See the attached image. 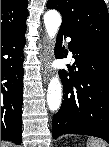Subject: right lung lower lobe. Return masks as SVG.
I'll use <instances>...</instances> for the list:
<instances>
[{
    "label": "right lung lower lobe",
    "instance_id": "obj_1",
    "mask_svg": "<svg viewBox=\"0 0 109 147\" xmlns=\"http://www.w3.org/2000/svg\"><path fill=\"white\" fill-rule=\"evenodd\" d=\"M26 27L1 38V140L21 144Z\"/></svg>",
    "mask_w": 109,
    "mask_h": 147
}]
</instances>
